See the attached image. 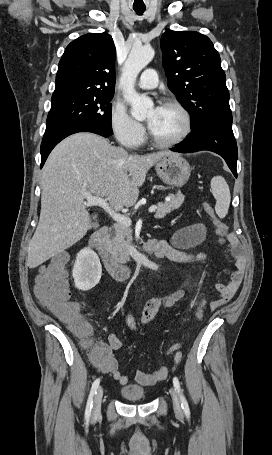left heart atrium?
<instances>
[{"instance_id": "1", "label": "left heart atrium", "mask_w": 272, "mask_h": 455, "mask_svg": "<svg viewBox=\"0 0 272 455\" xmlns=\"http://www.w3.org/2000/svg\"><path fill=\"white\" fill-rule=\"evenodd\" d=\"M159 108H160V107L154 108V112L157 113L158 110H159ZM153 124H154V119L152 118V119H150V120L148 121V126H149L150 129L152 128Z\"/></svg>"}]
</instances>
